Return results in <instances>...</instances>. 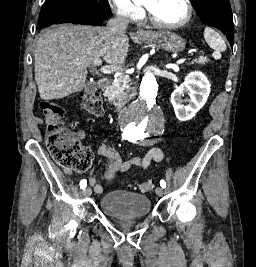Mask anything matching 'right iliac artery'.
Here are the masks:
<instances>
[{"label": "right iliac artery", "mask_w": 256, "mask_h": 267, "mask_svg": "<svg viewBox=\"0 0 256 267\" xmlns=\"http://www.w3.org/2000/svg\"><path fill=\"white\" fill-rule=\"evenodd\" d=\"M122 139H124V138H122ZM86 186H87V180H85V179L81 180L80 181V188L85 189Z\"/></svg>", "instance_id": "82829eb1"}]
</instances>
